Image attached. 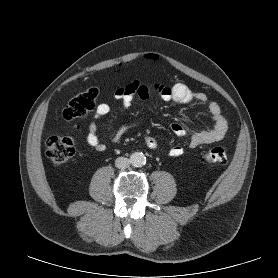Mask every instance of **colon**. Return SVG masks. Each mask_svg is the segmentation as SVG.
Here are the masks:
<instances>
[{"mask_svg":"<svg viewBox=\"0 0 278 278\" xmlns=\"http://www.w3.org/2000/svg\"><path fill=\"white\" fill-rule=\"evenodd\" d=\"M98 91L91 87L78 94L65 106L62 116L67 121L85 118L96 107ZM47 157L56 165L69 161L74 153V139L70 135L49 137L45 143ZM204 160L209 164H224L227 155L222 147H213L204 154Z\"/></svg>","mask_w":278,"mask_h":278,"instance_id":"1","label":"colon"}]
</instances>
